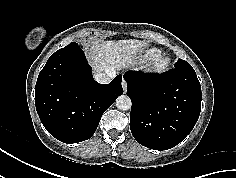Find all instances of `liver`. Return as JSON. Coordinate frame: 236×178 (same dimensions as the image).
<instances>
[{
    "label": "liver",
    "mask_w": 236,
    "mask_h": 178,
    "mask_svg": "<svg viewBox=\"0 0 236 178\" xmlns=\"http://www.w3.org/2000/svg\"><path fill=\"white\" fill-rule=\"evenodd\" d=\"M144 43L140 40H118L95 43L90 49L89 59L94 73L109 69H121L133 64Z\"/></svg>",
    "instance_id": "liver-1"
}]
</instances>
